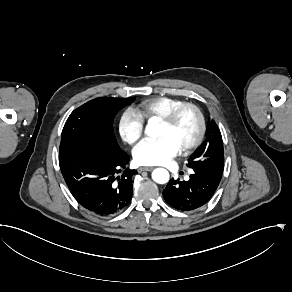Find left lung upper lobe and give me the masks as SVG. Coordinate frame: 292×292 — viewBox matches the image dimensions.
Returning <instances> with one entry per match:
<instances>
[{
  "mask_svg": "<svg viewBox=\"0 0 292 292\" xmlns=\"http://www.w3.org/2000/svg\"><path fill=\"white\" fill-rule=\"evenodd\" d=\"M188 161L187 166L194 172L221 178L224 167V149L220 130L214 120L209 119L206 139Z\"/></svg>",
  "mask_w": 292,
  "mask_h": 292,
  "instance_id": "obj_1",
  "label": "left lung upper lobe"
}]
</instances>
